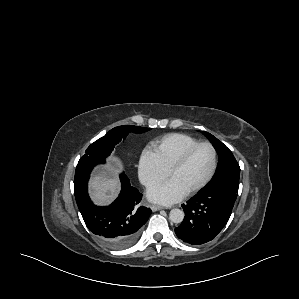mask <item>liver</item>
Listing matches in <instances>:
<instances>
[{
    "mask_svg": "<svg viewBox=\"0 0 299 299\" xmlns=\"http://www.w3.org/2000/svg\"><path fill=\"white\" fill-rule=\"evenodd\" d=\"M91 198L97 205L109 204L119 193L120 183L112 169L103 168L90 180Z\"/></svg>",
    "mask_w": 299,
    "mask_h": 299,
    "instance_id": "6515ba94",
    "label": "liver"
}]
</instances>
